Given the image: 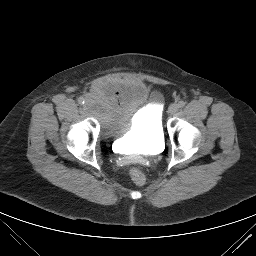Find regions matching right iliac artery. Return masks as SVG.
Segmentation results:
<instances>
[{
    "label": "right iliac artery",
    "instance_id": "right-iliac-artery-1",
    "mask_svg": "<svg viewBox=\"0 0 256 256\" xmlns=\"http://www.w3.org/2000/svg\"><path fill=\"white\" fill-rule=\"evenodd\" d=\"M78 103H79L80 105H83V104L85 103V99H84L83 97H79V98H78Z\"/></svg>",
    "mask_w": 256,
    "mask_h": 256
}]
</instances>
